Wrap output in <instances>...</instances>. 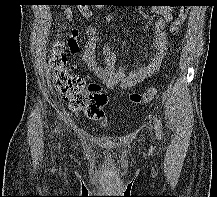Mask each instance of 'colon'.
Listing matches in <instances>:
<instances>
[{"label":"colon","mask_w":217,"mask_h":197,"mask_svg":"<svg viewBox=\"0 0 217 197\" xmlns=\"http://www.w3.org/2000/svg\"><path fill=\"white\" fill-rule=\"evenodd\" d=\"M189 5H182L179 14L171 21L170 33H178L189 10ZM49 65L53 73L56 90L73 111L83 112L88 118L100 120L104 116L107 95L97 83L87 84L83 77L71 70L66 58V45L57 39L51 46ZM156 91L149 88L143 93H132L133 104L147 103L154 99Z\"/></svg>","instance_id":"5ec220e1"}]
</instances>
